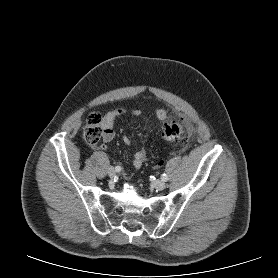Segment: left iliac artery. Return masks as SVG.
<instances>
[{
    "mask_svg": "<svg viewBox=\"0 0 278 278\" xmlns=\"http://www.w3.org/2000/svg\"><path fill=\"white\" fill-rule=\"evenodd\" d=\"M162 181H167L168 180V176L164 173L161 176Z\"/></svg>",
    "mask_w": 278,
    "mask_h": 278,
    "instance_id": "left-iliac-artery-1",
    "label": "left iliac artery"
}]
</instances>
